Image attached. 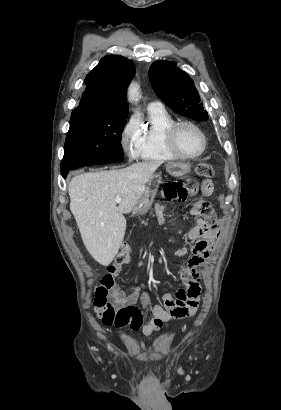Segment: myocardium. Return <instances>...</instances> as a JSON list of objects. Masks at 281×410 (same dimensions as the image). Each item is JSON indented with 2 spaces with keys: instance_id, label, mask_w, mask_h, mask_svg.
<instances>
[{
  "instance_id": "myocardium-1",
  "label": "myocardium",
  "mask_w": 281,
  "mask_h": 410,
  "mask_svg": "<svg viewBox=\"0 0 281 410\" xmlns=\"http://www.w3.org/2000/svg\"><path fill=\"white\" fill-rule=\"evenodd\" d=\"M183 126L192 127L196 131H198V133L201 135L202 140H203V146H202V149L198 153L186 154L179 148L176 137H177V132ZM166 142H167L169 149L175 155H177L179 158H182V159H195V158L200 157L201 155L204 154V152L207 149V145H208L207 136L205 132L203 131V129L196 123L192 121H188V120L175 121L166 131Z\"/></svg>"
}]
</instances>
